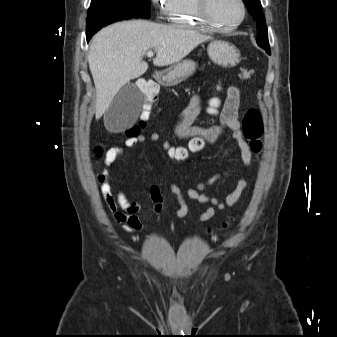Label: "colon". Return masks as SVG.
<instances>
[{
	"mask_svg": "<svg viewBox=\"0 0 337 337\" xmlns=\"http://www.w3.org/2000/svg\"><path fill=\"white\" fill-rule=\"evenodd\" d=\"M240 75L245 80H250L254 76L253 69L249 67H243L240 70ZM139 88L141 89L142 102L145 106L141 107L140 119L141 121L126 130L125 134L127 137H134L139 135L141 129L145 126L147 119H153V113L156 112V107L154 103L156 98H158V91H156V86L148 82H139ZM208 100L212 101L213 107H220V95L219 94H209ZM207 116H218V109H207ZM242 132L244 139L248 142L249 147L252 151L260 153L263 148L262 136L264 133L263 119L260 111L258 109H249L242 121ZM204 146L203 140H190L188 145L189 151H200L201 147ZM160 151H167V156H171L172 161H181L184 157L185 151L183 149H177L176 144H160ZM102 152L101 148H96V154L100 155ZM230 224L224 223L222 225L223 229H227Z\"/></svg>",
	"mask_w": 337,
	"mask_h": 337,
	"instance_id": "obj_1",
	"label": "colon"
}]
</instances>
